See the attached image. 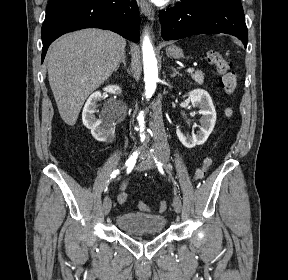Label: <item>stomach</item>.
<instances>
[{"label":"stomach","mask_w":288,"mask_h":280,"mask_svg":"<svg viewBox=\"0 0 288 280\" xmlns=\"http://www.w3.org/2000/svg\"><path fill=\"white\" fill-rule=\"evenodd\" d=\"M166 53L168 56L176 58V59L183 57V50L174 45L167 47Z\"/></svg>","instance_id":"1"}]
</instances>
